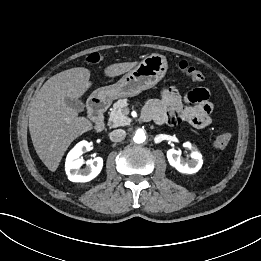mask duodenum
Listing matches in <instances>:
<instances>
[{
	"instance_id": "duodenum-1",
	"label": "duodenum",
	"mask_w": 261,
	"mask_h": 261,
	"mask_svg": "<svg viewBox=\"0 0 261 261\" xmlns=\"http://www.w3.org/2000/svg\"><path fill=\"white\" fill-rule=\"evenodd\" d=\"M109 104V99L105 96H96L88 104V112L94 121L97 132H101L104 129V113Z\"/></svg>"
}]
</instances>
